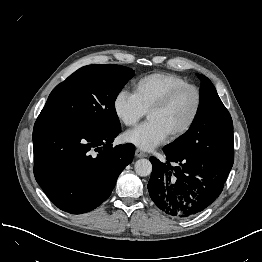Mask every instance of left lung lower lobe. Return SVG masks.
Wrapping results in <instances>:
<instances>
[{"mask_svg":"<svg viewBox=\"0 0 262 262\" xmlns=\"http://www.w3.org/2000/svg\"><path fill=\"white\" fill-rule=\"evenodd\" d=\"M167 161L150 157L153 166L148 191L153 202L166 214L190 218L206 209L222 192L232 168L230 147L220 161L170 152L163 148Z\"/></svg>","mask_w":262,"mask_h":262,"instance_id":"1","label":"left lung lower lobe"}]
</instances>
